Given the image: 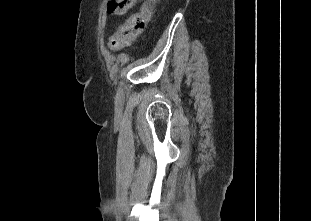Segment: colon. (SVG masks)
I'll return each instance as SVG.
<instances>
[{"instance_id":"1","label":"colon","mask_w":311,"mask_h":221,"mask_svg":"<svg viewBox=\"0 0 311 221\" xmlns=\"http://www.w3.org/2000/svg\"><path fill=\"white\" fill-rule=\"evenodd\" d=\"M161 0H145L140 10L129 16L127 21L120 25L108 42V48L118 50L130 45L147 27ZM137 0L110 1L111 17H126L129 4H136ZM111 22V21H110Z\"/></svg>"}]
</instances>
